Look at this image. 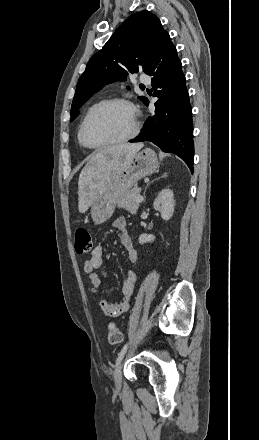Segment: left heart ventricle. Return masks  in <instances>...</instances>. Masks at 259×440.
Returning a JSON list of instances; mask_svg holds the SVG:
<instances>
[{"label":"left heart ventricle","mask_w":259,"mask_h":440,"mask_svg":"<svg viewBox=\"0 0 259 440\" xmlns=\"http://www.w3.org/2000/svg\"><path fill=\"white\" fill-rule=\"evenodd\" d=\"M133 128V113L123 104H111L97 111L86 127L89 143L97 145L118 140Z\"/></svg>","instance_id":"obj_1"}]
</instances>
